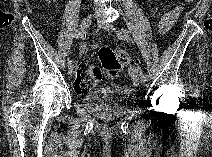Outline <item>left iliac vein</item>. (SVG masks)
<instances>
[{
    "mask_svg": "<svg viewBox=\"0 0 212 157\" xmlns=\"http://www.w3.org/2000/svg\"><path fill=\"white\" fill-rule=\"evenodd\" d=\"M98 26H99L100 28H103V29L106 30V31H109V32H116V28H115V26H114L113 24L108 23V22H105V21H103V20H98ZM138 81H139V83H141V84H144V83L146 82L145 79H144V74H143V73H141V74L139 75Z\"/></svg>",
    "mask_w": 212,
    "mask_h": 157,
    "instance_id": "4c4485c4",
    "label": "left iliac vein"
}]
</instances>
